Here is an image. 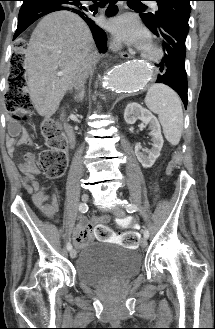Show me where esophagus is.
Returning a JSON list of instances; mask_svg holds the SVG:
<instances>
[{
	"instance_id": "1",
	"label": "esophagus",
	"mask_w": 215,
	"mask_h": 329,
	"mask_svg": "<svg viewBox=\"0 0 215 329\" xmlns=\"http://www.w3.org/2000/svg\"><path fill=\"white\" fill-rule=\"evenodd\" d=\"M131 55H132V53H129L127 51H121L120 52V57H122V58H130Z\"/></svg>"
}]
</instances>
